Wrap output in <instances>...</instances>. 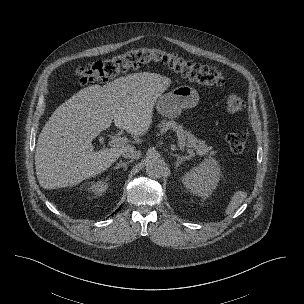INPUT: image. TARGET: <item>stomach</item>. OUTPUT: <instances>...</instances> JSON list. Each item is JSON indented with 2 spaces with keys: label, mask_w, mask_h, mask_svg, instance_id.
I'll return each mask as SVG.
<instances>
[{
  "label": "stomach",
  "mask_w": 304,
  "mask_h": 304,
  "mask_svg": "<svg viewBox=\"0 0 304 304\" xmlns=\"http://www.w3.org/2000/svg\"><path fill=\"white\" fill-rule=\"evenodd\" d=\"M198 102V92L190 86L183 85L161 95L156 101V108L162 116L176 118L183 109L195 107Z\"/></svg>",
  "instance_id": "1"
}]
</instances>
